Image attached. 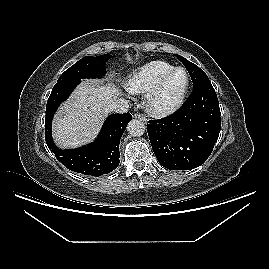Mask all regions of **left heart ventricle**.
<instances>
[{
	"instance_id": "b2bd125f",
	"label": "left heart ventricle",
	"mask_w": 269,
	"mask_h": 269,
	"mask_svg": "<svg viewBox=\"0 0 269 269\" xmlns=\"http://www.w3.org/2000/svg\"><path fill=\"white\" fill-rule=\"evenodd\" d=\"M185 81L186 77L184 72H177L165 86L163 93L160 97V103L167 104L174 100L184 87Z\"/></svg>"
}]
</instances>
